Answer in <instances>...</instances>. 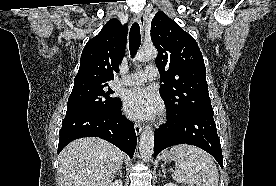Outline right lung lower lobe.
I'll return each instance as SVG.
<instances>
[{"mask_svg": "<svg viewBox=\"0 0 276 186\" xmlns=\"http://www.w3.org/2000/svg\"><path fill=\"white\" fill-rule=\"evenodd\" d=\"M59 136L58 154L68 143L83 137L107 140L130 157L137 144L133 123L121 113V100L108 112L83 111L66 115Z\"/></svg>", "mask_w": 276, "mask_h": 186, "instance_id": "1", "label": "right lung lower lobe"}]
</instances>
